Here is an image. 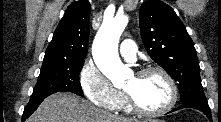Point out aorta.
I'll return each instance as SVG.
<instances>
[{
	"mask_svg": "<svg viewBox=\"0 0 221 122\" xmlns=\"http://www.w3.org/2000/svg\"><path fill=\"white\" fill-rule=\"evenodd\" d=\"M128 23V17L117 15L104 21L97 32L92 46V55L99 70L111 80L115 87H122L128 69L118 55L119 38Z\"/></svg>",
	"mask_w": 221,
	"mask_h": 122,
	"instance_id": "obj_1",
	"label": "aorta"
}]
</instances>
